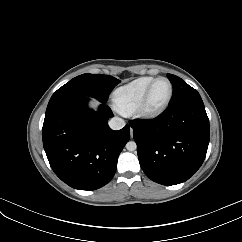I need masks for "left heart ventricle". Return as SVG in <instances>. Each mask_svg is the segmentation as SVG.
<instances>
[{"label": "left heart ventricle", "mask_w": 242, "mask_h": 242, "mask_svg": "<svg viewBox=\"0 0 242 242\" xmlns=\"http://www.w3.org/2000/svg\"><path fill=\"white\" fill-rule=\"evenodd\" d=\"M169 84L165 80L158 81L151 92L150 95V104L158 105L161 104L169 94Z\"/></svg>", "instance_id": "obj_1"}]
</instances>
